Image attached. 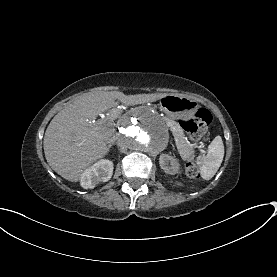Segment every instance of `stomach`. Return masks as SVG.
<instances>
[{
  "mask_svg": "<svg viewBox=\"0 0 277 277\" xmlns=\"http://www.w3.org/2000/svg\"><path fill=\"white\" fill-rule=\"evenodd\" d=\"M198 107L195 100L179 95H166L160 99L161 110L175 120L192 119Z\"/></svg>",
  "mask_w": 277,
  "mask_h": 277,
  "instance_id": "stomach-1",
  "label": "stomach"
}]
</instances>
